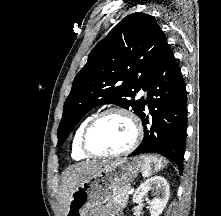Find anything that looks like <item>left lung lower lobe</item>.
Wrapping results in <instances>:
<instances>
[{
  "instance_id": "1",
  "label": "left lung lower lobe",
  "mask_w": 221,
  "mask_h": 216,
  "mask_svg": "<svg viewBox=\"0 0 221 216\" xmlns=\"http://www.w3.org/2000/svg\"><path fill=\"white\" fill-rule=\"evenodd\" d=\"M146 91L145 106L148 105L150 115H146L144 106L140 115L144 139L129 157L157 153L175 163L181 174L186 146L187 93L169 45L151 73Z\"/></svg>"
}]
</instances>
